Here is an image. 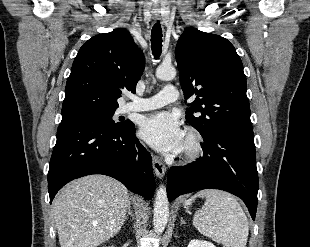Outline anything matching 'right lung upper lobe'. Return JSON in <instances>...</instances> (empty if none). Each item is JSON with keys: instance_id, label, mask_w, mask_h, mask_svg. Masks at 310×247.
<instances>
[{"instance_id": "right-lung-upper-lobe-1", "label": "right lung upper lobe", "mask_w": 310, "mask_h": 247, "mask_svg": "<svg viewBox=\"0 0 310 247\" xmlns=\"http://www.w3.org/2000/svg\"><path fill=\"white\" fill-rule=\"evenodd\" d=\"M144 64L127 30L92 37L74 59L62 110L78 106L116 109L122 89L135 92Z\"/></svg>"}]
</instances>
